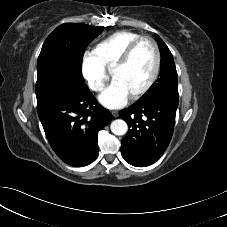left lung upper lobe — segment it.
I'll list each match as a JSON object with an SVG mask.
<instances>
[{
  "instance_id": "obj_1",
  "label": "left lung upper lobe",
  "mask_w": 227,
  "mask_h": 227,
  "mask_svg": "<svg viewBox=\"0 0 227 227\" xmlns=\"http://www.w3.org/2000/svg\"><path fill=\"white\" fill-rule=\"evenodd\" d=\"M156 37L161 52L160 78L156 80L137 102L146 101L158 96L175 101L179 100L178 76L173 56L162 39L158 35Z\"/></svg>"
}]
</instances>
